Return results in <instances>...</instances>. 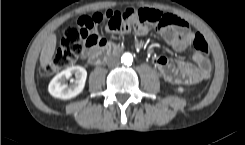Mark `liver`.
Returning a JSON list of instances; mask_svg holds the SVG:
<instances>
[{
    "label": "liver",
    "instance_id": "liver-1",
    "mask_svg": "<svg viewBox=\"0 0 245 145\" xmlns=\"http://www.w3.org/2000/svg\"><path fill=\"white\" fill-rule=\"evenodd\" d=\"M56 42L55 34H50L46 38L40 54V65L42 68H45L50 63L56 49Z\"/></svg>",
    "mask_w": 245,
    "mask_h": 145
}]
</instances>
